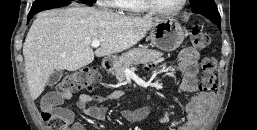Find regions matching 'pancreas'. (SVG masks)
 <instances>
[{
	"label": "pancreas",
	"mask_w": 257,
	"mask_h": 130,
	"mask_svg": "<svg viewBox=\"0 0 257 130\" xmlns=\"http://www.w3.org/2000/svg\"><path fill=\"white\" fill-rule=\"evenodd\" d=\"M163 54L156 50L146 48H133L115 62L114 70L118 81L125 78L126 69L133 68L136 65L153 63L158 60Z\"/></svg>",
	"instance_id": "obj_1"
}]
</instances>
